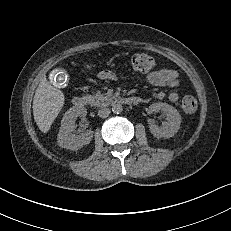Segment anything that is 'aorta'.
Here are the masks:
<instances>
[{
  "instance_id": "762f6f07",
  "label": "aorta",
  "mask_w": 231,
  "mask_h": 231,
  "mask_svg": "<svg viewBox=\"0 0 231 231\" xmlns=\"http://www.w3.org/2000/svg\"><path fill=\"white\" fill-rule=\"evenodd\" d=\"M123 110L122 105L120 103H114L112 105V112L115 114L121 113Z\"/></svg>"
}]
</instances>
